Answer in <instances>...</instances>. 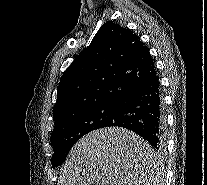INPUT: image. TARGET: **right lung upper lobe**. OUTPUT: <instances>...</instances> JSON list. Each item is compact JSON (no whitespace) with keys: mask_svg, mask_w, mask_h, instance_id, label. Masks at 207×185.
<instances>
[{"mask_svg":"<svg viewBox=\"0 0 207 185\" xmlns=\"http://www.w3.org/2000/svg\"><path fill=\"white\" fill-rule=\"evenodd\" d=\"M155 76L153 59L139 37L107 21L61 77L55 124L91 108L119 104L129 90Z\"/></svg>","mask_w":207,"mask_h":185,"instance_id":"1","label":"right lung upper lobe"}]
</instances>
